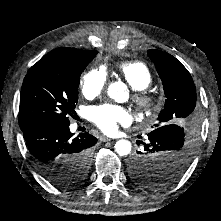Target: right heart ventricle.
<instances>
[{
	"mask_svg": "<svg viewBox=\"0 0 221 221\" xmlns=\"http://www.w3.org/2000/svg\"><path fill=\"white\" fill-rule=\"evenodd\" d=\"M119 74L134 89L142 90L152 82L149 67L142 61H125L118 66Z\"/></svg>",
	"mask_w": 221,
	"mask_h": 221,
	"instance_id": "right-heart-ventricle-1",
	"label": "right heart ventricle"
}]
</instances>
